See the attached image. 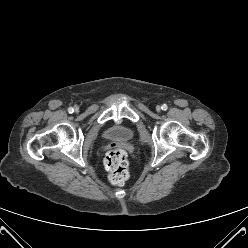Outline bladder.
<instances>
[{
    "label": "bladder",
    "mask_w": 248,
    "mask_h": 248,
    "mask_svg": "<svg viewBox=\"0 0 248 248\" xmlns=\"http://www.w3.org/2000/svg\"><path fill=\"white\" fill-rule=\"evenodd\" d=\"M105 135L108 139L129 141L133 137V130L125 125H113L106 130Z\"/></svg>",
    "instance_id": "obj_1"
}]
</instances>
